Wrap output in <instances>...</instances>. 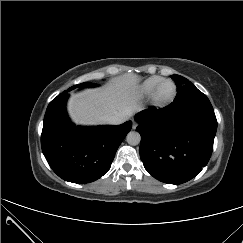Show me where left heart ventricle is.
I'll return each instance as SVG.
<instances>
[{"instance_id":"b2bd125f","label":"left heart ventricle","mask_w":243,"mask_h":243,"mask_svg":"<svg viewBox=\"0 0 243 243\" xmlns=\"http://www.w3.org/2000/svg\"><path fill=\"white\" fill-rule=\"evenodd\" d=\"M173 93V86L170 83L165 84L160 90V96L162 98H168Z\"/></svg>"}]
</instances>
